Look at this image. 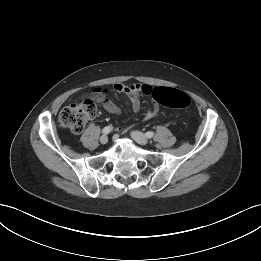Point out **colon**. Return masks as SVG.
Masks as SVG:
<instances>
[{
	"label": "colon",
	"mask_w": 261,
	"mask_h": 261,
	"mask_svg": "<svg viewBox=\"0 0 261 261\" xmlns=\"http://www.w3.org/2000/svg\"><path fill=\"white\" fill-rule=\"evenodd\" d=\"M151 95L157 103L169 108L184 109L191 103L186 93L174 88H155ZM104 98L105 92L96 89L91 98L66 106L58 116L59 125L73 133L82 132L86 123L95 117L97 102H101Z\"/></svg>",
	"instance_id": "5ec220e1"
}]
</instances>
